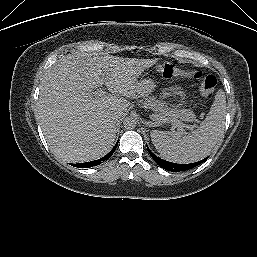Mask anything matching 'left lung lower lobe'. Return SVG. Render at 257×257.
<instances>
[{"label": "left lung lower lobe", "mask_w": 257, "mask_h": 257, "mask_svg": "<svg viewBox=\"0 0 257 257\" xmlns=\"http://www.w3.org/2000/svg\"><path fill=\"white\" fill-rule=\"evenodd\" d=\"M151 157L153 158V160L163 169L168 170V171H173V172H179V171H185V170H189L191 168H194L198 165H200L201 163H203L207 158L195 162V163H190V164H176V163H172L166 160H163L159 157H157L155 154H153L151 152V150L147 147Z\"/></svg>", "instance_id": "1"}]
</instances>
